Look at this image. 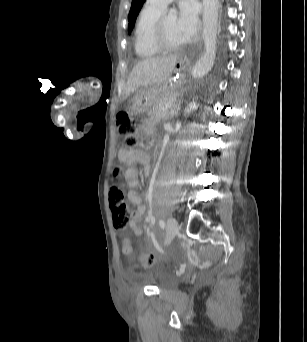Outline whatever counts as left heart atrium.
<instances>
[{"label": "left heart atrium", "mask_w": 307, "mask_h": 342, "mask_svg": "<svg viewBox=\"0 0 307 342\" xmlns=\"http://www.w3.org/2000/svg\"><path fill=\"white\" fill-rule=\"evenodd\" d=\"M199 27L198 11L195 5L188 4L182 7L180 16L175 24L178 38L184 44L191 42L196 37Z\"/></svg>", "instance_id": "39dd6f15"}]
</instances>
